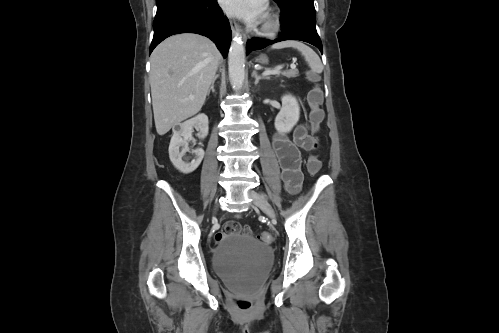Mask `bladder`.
I'll list each match as a JSON object with an SVG mask.
<instances>
[{
    "label": "bladder",
    "instance_id": "obj_1",
    "mask_svg": "<svg viewBox=\"0 0 499 333\" xmlns=\"http://www.w3.org/2000/svg\"><path fill=\"white\" fill-rule=\"evenodd\" d=\"M274 252L252 236L228 235L214 249L212 263L217 275L231 287L246 291L270 271Z\"/></svg>",
    "mask_w": 499,
    "mask_h": 333
}]
</instances>
